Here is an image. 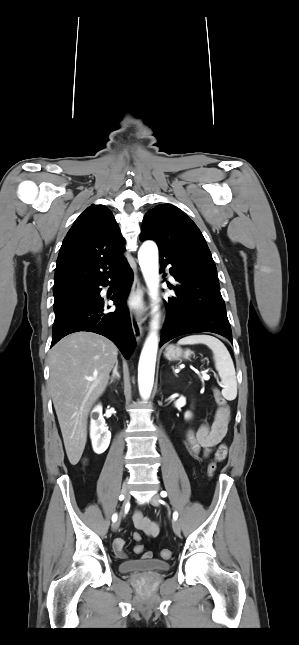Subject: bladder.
<instances>
[{
    "mask_svg": "<svg viewBox=\"0 0 299 645\" xmlns=\"http://www.w3.org/2000/svg\"><path fill=\"white\" fill-rule=\"evenodd\" d=\"M169 569L170 564L168 562L156 558L128 560L119 565L120 572L124 574L159 573L166 572Z\"/></svg>",
    "mask_w": 299,
    "mask_h": 645,
    "instance_id": "1",
    "label": "bladder"
}]
</instances>
